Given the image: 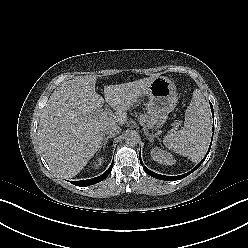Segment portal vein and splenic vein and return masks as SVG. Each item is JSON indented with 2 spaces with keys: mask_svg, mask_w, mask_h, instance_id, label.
Masks as SVG:
<instances>
[{
  "mask_svg": "<svg viewBox=\"0 0 248 248\" xmlns=\"http://www.w3.org/2000/svg\"><path fill=\"white\" fill-rule=\"evenodd\" d=\"M103 116H107V114L105 112L102 113ZM140 123L143 125V122L140 121Z\"/></svg>",
  "mask_w": 248,
  "mask_h": 248,
  "instance_id": "obj_1",
  "label": "portal vein and splenic vein"
}]
</instances>
